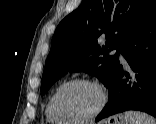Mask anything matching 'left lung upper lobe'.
Returning <instances> with one entry per match:
<instances>
[{
  "label": "left lung upper lobe",
  "instance_id": "5c2ea615",
  "mask_svg": "<svg viewBox=\"0 0 156 124\" xmlns=\"http://www.w3.org/2000/svg\"><path fill=\"white\" fill-rule=\"evenodd\" d=\"M154 0H84L58 25L41 80V94L68 71H84L108 87L119 53ZM105 36L106 45L98 38ZM117 49L109 56L108 52ZM103 55V57H101Z\"/></svg>",
  "mask_w": 156,
  "mask_h": 124
}]
</instances>
